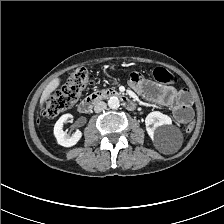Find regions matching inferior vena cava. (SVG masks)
Returning a JSON list of instances; mask_svg holds the SVG:
<instances>
[{
	"label": "inferior vena cava",
	"instance_id": "obj_1",
	"mask_svg": "<svg viewBox=\"0 0 224 224\" xmlns=\"http://www.w3.org/2000/svg\"><path fill=\"white\" fill-rule=\"evenodd\" d=\"M107 108V105L105 102H98L96 103V105L94 106V111L95 113H100L101 111L105 110Z\"/></svg>",
	"mask_w": 224,
	"mask_h": 224
}]
</instances>
